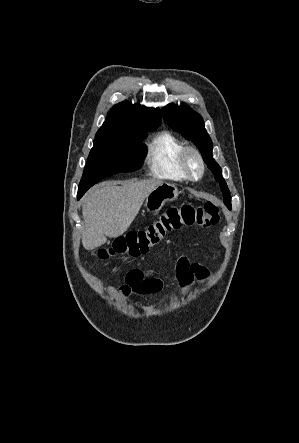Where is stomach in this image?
<instances>
[{"label":"stomach","instance_id":"1","mask_svg":"<svg viewBox=\"0 0 299 443\" xmlns=\"http://www.w3.org/2000/svg\"><path fill=\"white\" fill-rule=\"evenodd\" d=\"M178 194V189L170 183L155 187L146 198V211L152 214L158 213L166 202L175 200Z\"/></svg>","mask_w":299,"mask_h":443}]
</instances>
